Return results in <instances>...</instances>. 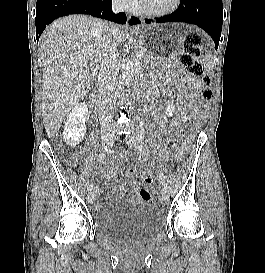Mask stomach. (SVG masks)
<instances>
[{"instance_id": "1", "label": "stomach", "mask_w": 265, "mask_h": 273, "mask_svg": "<svg viewBox=\"0 0 265 273\" xmlns=\"http://www.w3.org/2000/svg\"><path fill=\"white\" fill-rule=\"evenodd\" d=\"M187 30H195V25H155L137 29L139 44H133V49H145L142 51L143 64H172L176 51L183 42Z\"/></svg>"}]
</instances>
